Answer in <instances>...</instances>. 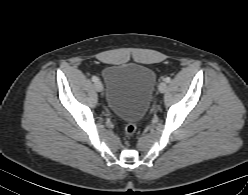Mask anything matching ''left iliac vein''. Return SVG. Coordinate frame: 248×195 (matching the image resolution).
I'll return each mask as SVG.
<instances>
[{
    "instance_id": "4c4485c4",
    "label": "left iliac vein",
    "mask_w": 248,
    "mask_h": 195,
    "mask_svg": "<svg viewBox=\"0 0 248 195\" xmlns=\"http://www.w3.org/2000/svg\"><path fill=\"white\" fill-rule=\"evenodd\" d=\"M158 89L161 93H164L167 90V84L165 82H161L158 86Z\"/></svg>"
}]
</instances>
